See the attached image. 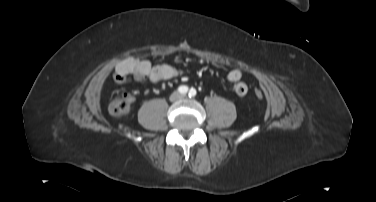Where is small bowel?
Here are the masks:
<instances>
[{"label": "small bowel", "mask_w": 376, "mask_h": 202, "mask_svg": "<svg viewBox=\"0 0 376 202\" xmlns=\"http://www.w3.org/2000/svg\"><path fill=\"white\" fill-rule=\"evenodd\" d=\"M216 64H223L222 61H214ZM182 72L169 64L154 65L149 60L135 57L125 58L119 61L113 73V81L116 84L127 83L130 78L138 82L149 81L158 83L173 78H178ZM226 79L234 85V91L239 96L248 92V87L241 81L242 72L239 68H233L227 72Z\"/></svg>", "instance_id": "small-bowel-1"}]
</instances>
